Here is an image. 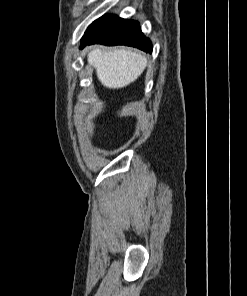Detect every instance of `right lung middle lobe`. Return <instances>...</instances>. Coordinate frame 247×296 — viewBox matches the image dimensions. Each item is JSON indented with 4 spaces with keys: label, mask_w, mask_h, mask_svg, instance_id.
I'll return each mask as SVG.
<instances>
[{
    "label": "right lung middle lobe",
    "mask_w": 247,
    "mask_h": 296,
    "mask_svg": "<svg viewBox=\"0 0 247 296\" xmlns=\"http://www.w3.org/2000/svg\"><path fill=\"white\" fill-rule=\"evenodd\" d=\"M85 35H86V33H85ZM85 35L83 36L82 40L84 39Z\"/></svg>",
    "instance_id": "obj_1"
}]
</instances>
